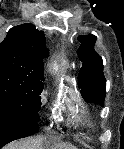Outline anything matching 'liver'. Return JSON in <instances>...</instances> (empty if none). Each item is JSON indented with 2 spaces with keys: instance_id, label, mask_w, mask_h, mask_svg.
<instances>
[{
  "instance_id": "obj_1",
  "label": "liver",
  "mask_w": 124,
  "mask_h": 149,
  "mask_svg": "<svg viewBox=\"0 0 124 149\" xmlns=\"http://www.w3.org/2000/svg\"><path fill=\"white\" fill-rule=\"evenodd\" d=\"M43 138L22 140L6 147V149H43ZM63 149H75L72 146H63Z\"/></svg>"
}]
</instances>
